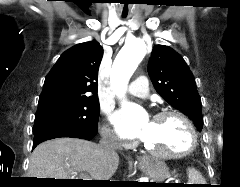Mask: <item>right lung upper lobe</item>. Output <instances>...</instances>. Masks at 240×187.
Returning <instances> with one entry per match:
<instances>
[{
  "label": "right lung upper lobe",
  "mask_w": 240,
  "mask_h": 187,
  "mask_svg": "<svg viewBox=\"0 0 240 187\" xmlns=\"http://www.w3.org/2000/svg\"><path fill=\"white\" fill-rule=\"evenodd\" d=\"M103 48L95 41L65 51L47 74L38 105L61 100H98Z\"/></svg>",
  "instance_id": "right-lung-upper-lobe-1"
}]
</instances>
